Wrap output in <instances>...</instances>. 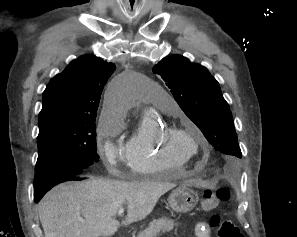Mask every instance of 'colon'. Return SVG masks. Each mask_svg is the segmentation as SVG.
<instances>
[{
	"label": "colon",
	"mask_w": 297,
	"mask_h": 237,
	"mask_svg": "<svg viewBox=\"0 0 297 237\" xmlns=\"http://www.w3.org/2000/svg\"><path fill=\"white\" fill-rule=\"evenodd\" d=\"M230 192L226 187L215 190H206L202 198V207L206 211L214 210L221 202L228 201ZM210 226L217 230L219 237H244L241 230L231 220L222 219L219 215H213Z\"/></svg>",
	"instance_id": "colon-1"
}]
</instances>
